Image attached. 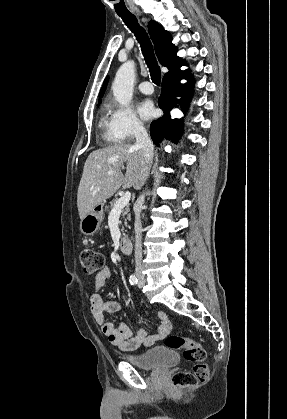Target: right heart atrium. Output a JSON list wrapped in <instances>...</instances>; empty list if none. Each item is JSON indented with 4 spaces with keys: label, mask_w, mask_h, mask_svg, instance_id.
<instances>
[{
    "label": "right heart atrium",
    "mask_w": 287,
    "mask_h": 419,
    "mask_svg": "<svg viewBox=\"0 0 287 419\" xmlns=\"http://www.w3.org/2000/svg\"><path fill=\"white\" fill-rule=\"evenodd\" d=\"M112 126L115 134L123 140H132L144 131L143 122L131 106H116L112 109Z\"/></svg>",
    "instance_id": "1"
}]
</instances>
